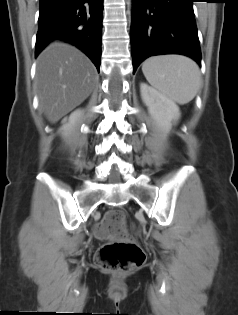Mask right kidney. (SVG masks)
<instances>
[{
    "label": "right kidney",
    "instance_id": "ca27d5eb",
    "mask_svg": "<svg viewBox=\"0 0 238 315\" xmlns=\"http://www.w3.org/2000/svg\"><path fill=\"white\" fill-rule=\"evenodd\" d=\"M82 112L81 110H76L68 118H65L62 123L63 126L61 127L62 134H65L67 131H69L77 122V120L80 118Z\"/></svg>",
    "mask_w": 238,
    "mask_h": 315
}]
</instances>
